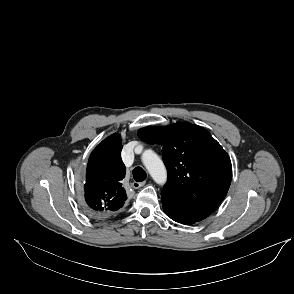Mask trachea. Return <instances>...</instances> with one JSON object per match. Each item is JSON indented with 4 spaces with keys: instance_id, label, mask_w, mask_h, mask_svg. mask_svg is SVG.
Segmentation results:
<instances>
[{
    "instance_id": "1",
    "label": "trachea",
    "mask_w": 294,
    "mask_h": 294,
    "mask_svg": "<svg viewBox=\"0 0 294 294\" xmlns=\"http://www.w3.org/2000/svg\"><path fill=\"white\" fill-rule=\"evenodd\" d=\"M146 177H147V174H146V172L144 171L143 168H141V167L134 168V170H133V178H134L135 181L142 182V181H144L146 179Z\"/></svg>"
}]
</instances>
